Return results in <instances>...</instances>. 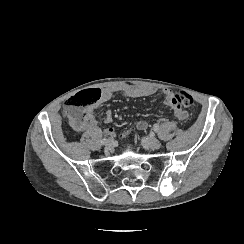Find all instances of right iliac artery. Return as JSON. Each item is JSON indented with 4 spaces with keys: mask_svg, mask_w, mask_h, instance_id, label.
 Instances as JSON below:
<instances>
[{
    "mask_svg": "<svg viewBox=\"0 0 244 244\" xmlns=\"http://www.w3.org/2000/svg\"><path fill=\"white\" fill-rule=\"evenodd\" d=\"M107 141V137L103 138L102 141H101V144L104 145Z\"/></svg>",
    "mask_w": 244,
    "mask_h": 244,
    "instance_id": "1",
    "label": "right iliac artery"
}]
</instances>
